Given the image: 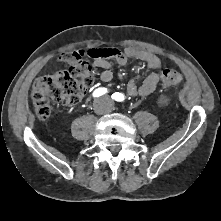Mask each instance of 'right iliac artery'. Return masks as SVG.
Wrapping results in <instances>:
<instances>
[{"instance_id":"82829eb1","label":"right iliac artery","mask_w":221,"mask_h":221,"mask_svg":"<svg viewBox=\"0 0 221 221\" xmlns=\"http://www.w3.org/2000/svg\"><path fill=\"white\" fill-rule=\"evenodd\" d=\"M108 92L107 88H98L93 92V97H99L102 96L104 94H106Z\"/></svg>"}]
</instances>
